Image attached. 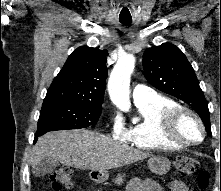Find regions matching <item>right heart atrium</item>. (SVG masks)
I'll list each match as a JSON object with an SVG mask.
<instances>
[{"mask_svg":"<svg viewBox=\"0 0 221 191\" xmlns=\"http://www.w3.org/2000/svg\"><path fill=\"white\" fill-rule=\"evenodd\" d=\"M111 134L115 139L125 140L127 136L126 127L118 114H113L110 121Z\"/></svg>","mask_w":221,"mask_h":191,"instance_id":"obj_1","label":"right heart atrium"}]
</instances>
